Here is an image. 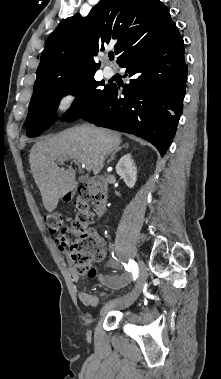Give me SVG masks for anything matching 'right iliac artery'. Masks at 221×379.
<instances>
[{
	"label": "right iliac artery",
	"instance_id": "1",
	"mask_svg": "<svg viewBox=\"0 0 221 379\" xmlns=\"http://www.w3.org/2000/svg\"><path fill=\"white\" fill-rule=\"evenodd\" d=\"M128 271L132 272L133 279L136 280L139 274V268H138L137 263L134 260H131V259L129 260Z\"/></svg>",
	"mask_w": 221,
	"mask_h": 379
}]
</instances>
